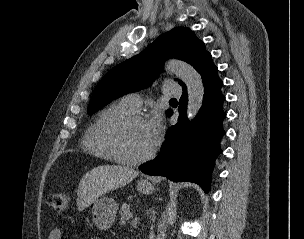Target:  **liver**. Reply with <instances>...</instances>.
I'll list each match as a JSON object with an SVG mask.
<instances>
[{"label": "liver", "instance_id": "6515ba94", "mask_svg": "<svg viewBox=\"0 0 304 239\" xmlns=\"http://www.w3.org/2000/svg\"><path fill=\"white\" fill-rule=\"evenodd\" d=\"M138 171L117 165L98 166L87 172L80 180L77 190V207L83 211L100 196L129 184Z\"/></svg>", "mask_w": 304, "mask_h": 239}]
</instances>
